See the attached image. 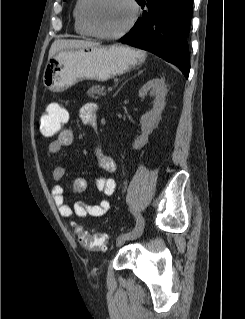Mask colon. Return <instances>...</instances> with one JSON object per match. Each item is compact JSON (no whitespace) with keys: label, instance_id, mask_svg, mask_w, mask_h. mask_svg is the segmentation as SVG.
<instances>
[{"label":"colon","instance_id":"1","mask_svg":"<svg viewBox=\"0 0 245 319\" xmlns=\"http://www.w3.org/2000/svg\"><path fill=\"white\" fill-rule=\"evenodd\" d=\"M67 120V112L59 105L51 106L40 116V130L45 136H53L59 133ZM79 243L90 250H97L107 245V239L99 233H89L80 228L76 229Z\"/></svg>","mask_w":245,"mask_h":319}]
</instances>
